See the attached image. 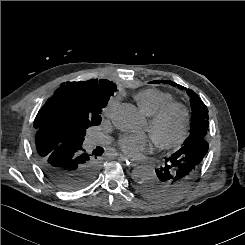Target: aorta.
Wrapping results in <instances>:
<instances>
[{
    "mask_svg": "<svg viewBox=\"0 0 245 245\" xmlns=\"http://www.w3.org/2000/svg\"><path fill=\"white\" fill-rule=\"evenodd\" d=\"M113 124L125 132H140L145 126V119L138 109L130 103H122L113 113ZM154 177L153 171L146 167H136L132 171V178L138 183H145Z\"/></svg>",
    "mask_w": 245,
    "mask_h": 245,
    "instance_id": "762f6f07",
    "label": "aorta"
}]
</instances>
